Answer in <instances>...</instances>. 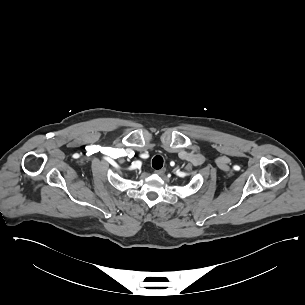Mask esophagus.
I'll return each mask as SVG.
<instances>
[{"instance_id": "1", "label": "esophagus", "mask_w": 305, "mask_h": 305, "mask_svg": "<svg viewBox=\"0 0 305 305\" xmlns=\"http://www.w3.org/2000/svg\"><path fill=\"white\" fill-rule=\"evenodd\" d=\"M166 172V168L155 170L154 173L157 175H163Z\"/></svg>"}]
</instances>
